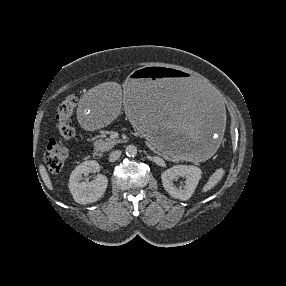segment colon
<instances>
[{
  "label": "colon",
  "mask_w": 286,
  "mask_h": 286,
  "mask_svg": "<svg viewBox=\"0 0 286 286\" xmlns=\"http://www.w3.org/2000/svg\"><path fill=\"white\" fill-rule=\"evenodd\" d=\"M77 101L76 96H68L61 102L57 109L56 129L58 138L50 140L45 153V163L52 173H59L68 159L69 149L66 142L71 140L75 135L72 115Z\"/></svg>",
  "instance_id": "colon-1"
}]
</instances>
